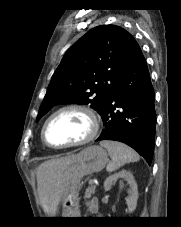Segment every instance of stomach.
Here are the masks:
<instances>
[{
  "label": "stomach",
  "instance_id": "1",
  "mask_svg": "<svg viewBox=\"0 0 181 227\" xmlns=\"http://www.w3.org/2000/svg\"><path fill=\"white\" fill-rule=\"evenodd\" d=\"M108 162V154L100 146H88L76 155V159L69 166L67 190L62 197V217H78L79 188L84 176L101 171Z\"/></svg>",
  "mask_w": 181,
  "mask_h": 227
}]
</instances>
